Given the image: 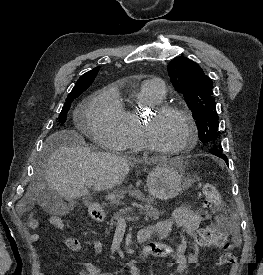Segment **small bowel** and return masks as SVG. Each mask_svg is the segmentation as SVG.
<instances>
[{
    "instance_id": "1",
    "label": "small bowel",
    "mask_w": 263,
    "mask_h": 275,
    "mask_svg": "<svg viewBox=\"0 0 263 275\" xmlns=\"http://www.w3.org/2000/svg\"><path fill=\"white\" fill-rule=\"evenodd\" d=\"M54 218H51V223L54 227L62 229L64 226L63 220L59 218V224L55 226ZM209 219L208 213L203 209H188L184 207L176 208L166 219L143 228L139 237L144 238V242L149 241L154 235L159 238L158 242H149L145 251L148 255L169 259L168 267L171 269L168 275H181L186 268L195 264L198 261L199 249L203 244L200 242L199 235L201 232L200 226L203 222ZM39 225L37 220H30L29 226L37 228ZM178 228L180 242L177 246H173L167 242V238L173 228ZM33 242H37L40 236L37 233L31 235ZM66 247L73 251L82 253L85 251L84 245L74 237L65 239ZM92 249L95 255H98L103 250V244L100 240L92 241ZM39 262V261H38ZM83 269L79 270L76 275H116L114 272H107L101 267H97L90 262L82 263ZM38 275H44L39 272ZM130 275H138V270L135 267L130 269Z\"/></svg>"
}]
</instances>
